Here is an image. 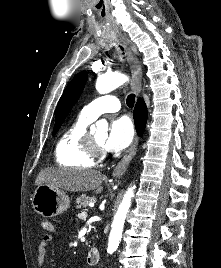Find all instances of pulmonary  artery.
Instances as JSON below:
<instances>
[{"instance_id":"1","label":"pulmonary artery","mask_w":221,"mask_h":268,"mask_svg":"<svg viewBox=\"0 0 221 268\" xmlns=\"http://www.w3.org/2000/svg\"><path fill=\"white\" fill-rule=\"evenodd\" d=\"M119 109V99L114 95H105L86 105L81 114L93 121L103 113L117 112Z\"/></svg>"}]
</instances>
